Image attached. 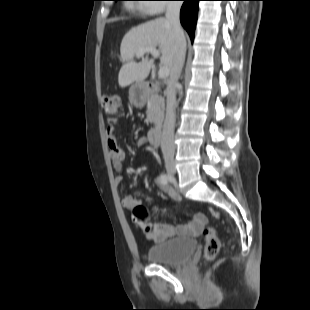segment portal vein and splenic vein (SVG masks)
Masks as SVG:
<instances>
[{
	"instance_id": "obj_1",
	"label": "portal vein and splenic vein",
	"mask_w": 310,
	"mask_h": 310,
	"mask_svg": "<svg viewBox=\"0 0 310 310\" xmlns=\"http://www.w3.org/2000/svg\"><path fill=\"white\" fill-rule=\"evenodd\" d=\"M145 53H150L154 58L159 57V51L155 48V47H147L142 49L140 52H138L136 54V56L142 57ZM158 76L160 79H165L169 76V69L168 67H160L159 72H158Z\"/></svg>"
}]
</instances>
